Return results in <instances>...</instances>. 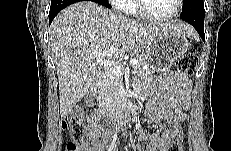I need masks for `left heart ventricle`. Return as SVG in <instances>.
<instances>
[{
	"instance_id": "b2bd125f",
	"label": "left heart ventricle",
	"mask_w": 231,
	"mask_h": 151,
	"mask_svg": "<svg viewBox=\"0 0 231 151\" xmlns=\"http://www.w3.org/2000/svg\"><path fill=\"white\" fill-rule=\"evenodd\" d=\"M143 2L146 12L157 17L167 16L175 9V0H144Z\"/></svg>"
}]
</instances>
